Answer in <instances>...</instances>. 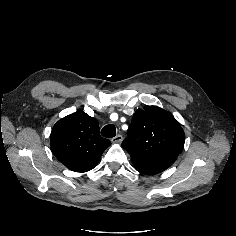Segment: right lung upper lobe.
I'll return each instance as SVG.
<instances>
[{
    "label": "right lung upper lobe",
    "instance_id": "1",
    "mask_svg": "<svg viewBox=\"0 0 236 236\" xmlns=\"http://www.w3.org/2000/svg\"><path fill=\"white\" fill-rule=\"evenodd\" d=\"M110 144L100 136L98 121L82 110L59 120L50 136L55 157L75 172L93 169Z\"/></svg>",
    "mask_w": 236,
    "mask_h": 236
}]
</instances>
